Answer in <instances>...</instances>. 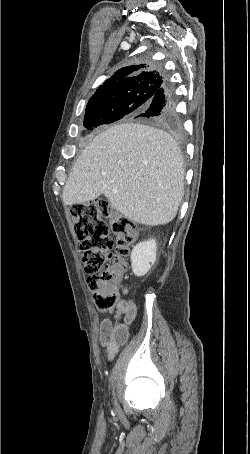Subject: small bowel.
<instances>
[{
	"mask_svg": "<svg viewBox=\"0 0 250 454\" xmlns=\"http://www.w3.org/2000/svg\"><path fill=\"white\" fill-rule=\"evenodd\" d=\"M127 294V290H123ZM137 309L130 299L122 300L118 303L115 311V320L104 319L100 324L99 342L103 347L106 358L111 361L114 359L121 345L129 337V326L135 320Z\"/></svg>",
	"mask_w": 250,
	"mask_h": 454,
	"instance_id": "small-bowel-1",
	"label": "small bowel"
}]
</instances>
